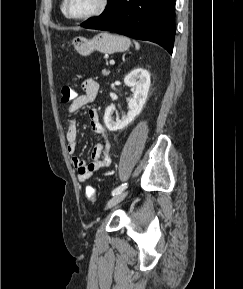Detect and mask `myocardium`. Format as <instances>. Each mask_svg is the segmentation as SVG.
<instances>
[{
	"instance_id": "obj_1",
	"label": "myocardium",
	"mask_w": 243,
	"mask_h": 289,
	"mask_svg": "<svg viewBox=\"0 0 243 289\" xmlns=\"http://www.w3.org/2000/svg\"><path fill=\"white\" fill-rule=\"evenodd\" d=\"M108 6H109V0H101L99 7L95 11L89 14L83 15V16H74L69 11V0H64L65 14L67 17L73 20H88V19L97 17L103 14L107 10Z\"/></svg>"
}]
</instances>
